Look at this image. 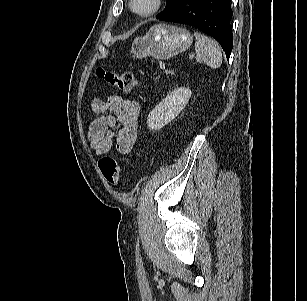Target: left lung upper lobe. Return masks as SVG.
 I'll use <instances>...</instances> for the list:
<instances>
[{"instance_id":"obj_1","label":"left lung upper lobe","mask_w":307,"mask_h":301,"mask_svg":"<svg viewBox=\"0 0 307 301\" xmlns=\"http://www.w3.org/2000/svg\"><path fill=\"white\" fill-rule=\"evenodd\" d=\"M179 1L180 0H167L165 9L160 14H158L156 18H160L170 12L178 4Z\"/></svg>"}]
</instances>
